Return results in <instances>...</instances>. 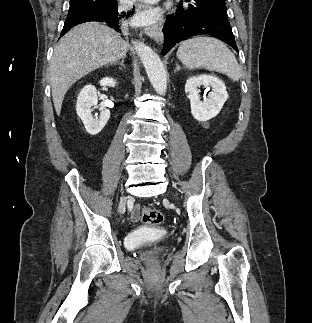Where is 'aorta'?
<instances>
[{
  "mask_svg": "<svg viewBox=\"0 0 312 323\" xmlns=\"http://www.w3.org/2000/svg\"><path fill=\"white\" fill-rule=\"evenodd\" d=\"M132 44H134V50H136L155 92L162 96L167 90V78L159 56L143 42L135 40Z\"/></svg>",
  "mask_w": 312,
  "mask_h": 323,
  "instance_id": "obj_1",
  "label": "aorta"
}]
</instances>
